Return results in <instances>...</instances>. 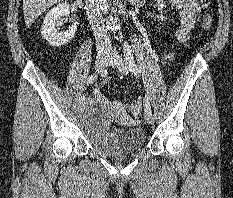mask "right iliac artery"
Returning <instances> with one entry per match:
<instances>
[{"label":"right iliac artery","mask_w":233,"mask_h":198,"mask_svg":"<svg viewBox=\"0 0 233 198\" xmlns=\"http://www.w3.org/2000/svg\"><path fill=\"white\" fill-rule=\"evenodd\" d=\"M103 73L106 74V73H107V69H105V70L103 71ZM97 77H98V75H91V76H89V78L87 79V84L93 83V82L97 79ZM84 101H85V96L82 95V96L79 98V102H80V103H83Z\"/></svg>","instance_id":"obj_1"}]
</instances>
